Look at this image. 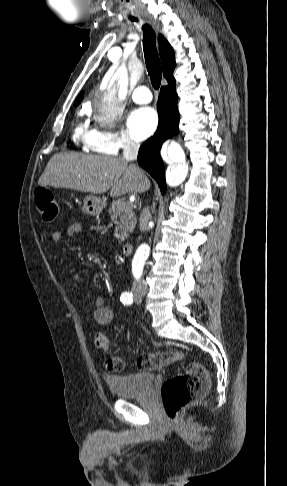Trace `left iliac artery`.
<instances>
[{
	"label": "left iliac artery",
	"mask_w": 287,
	"mask_h": 486,
	"mask_svg": "<svg viewBox=\"0 0 287 486\" xmlns=\"http://www.w3.org/2000/svg\"><path fill=\"white\" fill-rule=\"evenodd\" d=\"M120 300H121V302H122L124 305H125V304L130 305V304L133 302V299H132V300H131V299L129 300V299H121V298H120Z\"/></svg>",
	"instance_id": "obj_1"
}]
</instances>
